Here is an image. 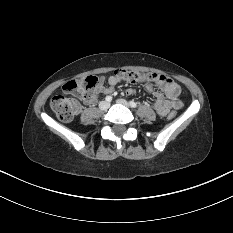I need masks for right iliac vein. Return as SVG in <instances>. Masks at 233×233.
<instances>
[{"label": "right iliac vein", "mask_w": 233, "mask_h": 233, "mask_svg": "<svg viewBox=\"0 0 233 233\" xmlns=\"http://www.w3.org/2000/svg\"><path fill=\"white\" fill-rule=\"evenodd\" d=\"M109 106H110V103L107 101H102L99 104V108L103 111H106L109 108Z\"/></svg>", "instance_id": "1"}]
</instances>
